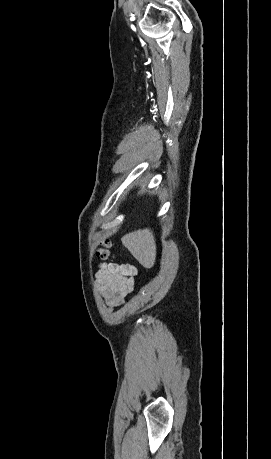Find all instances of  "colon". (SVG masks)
Returning <instances> with one entry per match:
<instances>
[{
    "label": "colon",
    "mask_w": 271,
    "mask_h": 459,
    "mask_svg": "<svg viewBox=\"0 0 271 459\" xmlns=\"http://www.w3.org/2000/svg\"><path fill=\"white\" fill-rule=\"evenodd\" d=\"M96 255L101 259H108L109 257H111V243L108 241L102 243L100 248L97 250Z\"/></svg>",
    "instance_id": "obj_1"
}]
</instances>
